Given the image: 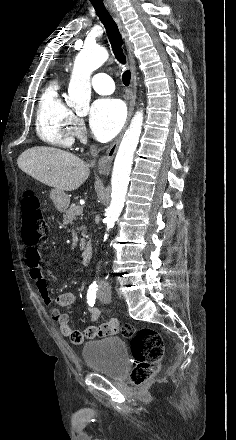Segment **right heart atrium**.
Here are the masks:
<instances>
[{
    "instance_id": "1",
    "label": "right heart atrium",
    "mask_w": 236,
    "mask_h": 440,
    "mask_svg": "<svg viewBox=\"0 0 236 440\" xmlns=\"http://www.w3.org/2000/svg\"><path fill=\"white\" fill-rule=\"evenodd\" d=\"M73 127H74V136H76L78 139H84L86 136V128L84 121L79 117H75L73 121Z\"/></svg>"
}]
</instances>
